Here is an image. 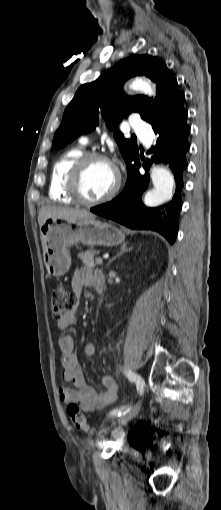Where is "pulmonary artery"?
<instances>
[{"mask_svg":"<svg viewBox=\"0 0 221 510\" xmlns=\"http://www.w3.org/2000/svg\"><path fill=\"white\" fill-rule=\"evenodd\" d=\"M130 125L132 129L137 133L141 141L146 145L149 146L153 139V132L150 129L148 123L140 120L137 117L131 118ZM80 142L83 145H86L89 143V137L88 136H82L80 137Z\"/></svg>","mask_w":221,"mask_h":510,"instance_id":"pulmonary-artery-1","label":"pulmonary artery"}]
</instances>
